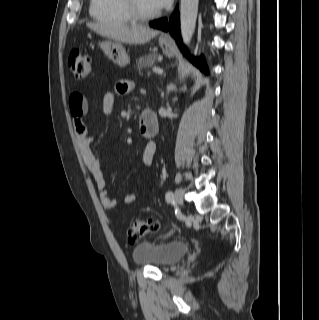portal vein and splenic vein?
Segmentation results:
<instances>
[{"label":"portal vein and splenic vein","mask_w":319,"mask_h":320,"mask_svg":"<svg viewBox=\"0 0 319 320\" xmlns=\"http://www.w3.org/2000/svg\"><path fill=\"white\" fill-rule=\"evenodd\" d=\"M153 71H154L155 73H158V74H162V73H163V70H162L161 68H159V67H154V68H153Z\"/></svg>","instance_id":"18ae733b"}]
</instances>
